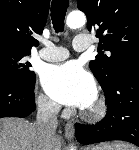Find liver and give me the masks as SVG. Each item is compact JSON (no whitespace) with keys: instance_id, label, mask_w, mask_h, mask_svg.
Masks as SVG:
<instances>
[{"instance_id":"1","label":"liver","mask_w":139,"mask_h":150,"mask_svg":"<svg viewBox=\"0 0 139 150\" xmlns=\"http://www.w3.org/2000/svg\"><path fill=\"white\" fill-rule=\"evenodd\" d=\"M35 127L24 119H0V150H40ZM54 150H60L61 138L55 137Z\"/></svg>"}]
</instances>
